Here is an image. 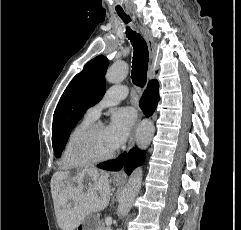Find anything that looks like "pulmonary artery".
Listing matches in <instances>:
<instances>
[{
	"label": "pulmonary artery",
	"mask_w": 241,
	"mask_h": 230,
	"mask_svg": "<svg viewBox=\"0 0 241 230\" xmlns=\"http://www.w3.org/2000/svg\"><path fill=\"white\" fill-rule=\"evenodd\" d=\"M126 96H127L126 87L124 86L111 87L106 91L104 97L97 104L91 106L87 110L86 114L96 119L97 117H99L100 112L103 108L116 105Z\"/></svg>",
	"instance_id": "pulmonary-artery-1"
}]
</instances>
